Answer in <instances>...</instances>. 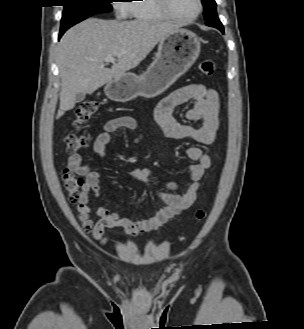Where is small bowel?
Here are the masks:
<instances>
[{
  "label": "small bowel",
  "mask_w": 304,
  "mask_h": 329,
  "mask_svg": "<svg viewBox=\"0 0 304 329\" xmlns=\"http://www.w3.org/2000/svg\"><path fill=\"white\" fill-rule=\"evenodd\" d=\"M193 101V106L185 113L190 121H201V126L194 127L177 121L173 116L175 107ZM155 119L163 133L173 139H189L199 144H212L218 135L219 127V97L215 90L202 84H188L181 86L163 98L155 109ZM135 122L130 117H117L109 120L104 131L100 133L94 144V151L99 157L105 155L107 145L112 140V134L120 129H134ZM142 136L136 137V142H142ZM189 159L194 161L186 168L188 180L183 183L168 181L164 189L159 191L158 197L164 203L161 209L151 212L146 219L134 220L130 216H121L102 205H98L95 213L99 217L97 222L91 219L92 209L89 205L90 195L98 198L103 191L100 173L93 169L90 163H84L79 154H71L68 167L85 178V184L80 199L76 203L78 220L84 231L91 233L97 241H102L107 228L119 227L131 237L156 230L165 223L188 209L197 198L198 189L205 171L211 166V157L198 147L186 150ZM129 175L142 183L148 184L151 170L147 167L135 168ZM183 189V192H179ZM117 248L118 245H113Z\"/></svg>",
  "instance_id": "obj_1"
}]
</instances>
